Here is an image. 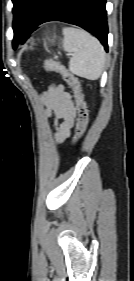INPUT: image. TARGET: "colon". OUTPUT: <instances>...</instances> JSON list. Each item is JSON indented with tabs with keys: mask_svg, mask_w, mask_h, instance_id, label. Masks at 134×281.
<instances>
[{
	"mask_svg": "<svg viewBox=\"0 0 134 281\" xmlns=\"http://www.w3.org/2000/svg\"><path fill=\"white\" fill-rule=\"evenodd\" d=\"M43 66L46 71L59 73L73 91L78 113L75 132V141H77L86 131L89 122L88 109L81 91L80 82L72 73H70L66 69L63 64L58 61L46 60Z\"/></svg>",
	"mask_w": 134,
	"mask_h": 281,
	"instance_id": "colon-1",
	"label": "colon"
}]
</instances>
